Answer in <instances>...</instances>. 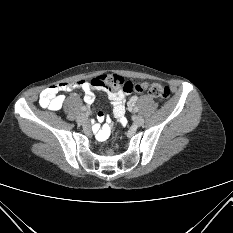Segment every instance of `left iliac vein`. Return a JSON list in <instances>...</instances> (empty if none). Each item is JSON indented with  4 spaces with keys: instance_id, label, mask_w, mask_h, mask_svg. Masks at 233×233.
Here are the masks:
<instances>
[{
    "instance_id": "1",
    "label": "left iliac vein",
    "mask_w": 233,
    "mask_h": 233,
    "mask_svg": "<svg viewBox=\"0 0 233 233\" xmlns=\"http://www.w3.org/2000/svg\"><path fill=\"white\" fill-rule=\"evenodd\" d=\"M134 124H135L137 127L142 126V125L144 124V119H143V117L140 116V115L135 116V118H134Z\"/></svg>"
}]
</instances>
